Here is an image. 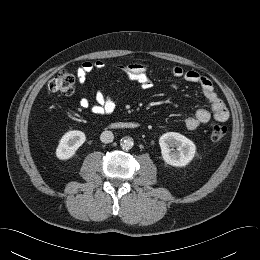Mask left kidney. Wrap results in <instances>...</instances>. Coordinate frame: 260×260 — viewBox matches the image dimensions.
<instances>
[{"label": "left kidney", "mask_w": 260, "mask_h": 260, "mask_svg": "<svg viewBox=\"0 0 260 260\" xmlns=\"http://www.w3.org/2000/svg\"><path fill=\"white\" fill-rule=\"evenodd\" d=\"M159 145L163 160L175 167L186 166L194 158L196 152L195 144L176 132L163 134L159 139Z\"/></svg>", "instance_id": "obj_1"}]
</instances>
